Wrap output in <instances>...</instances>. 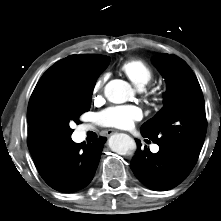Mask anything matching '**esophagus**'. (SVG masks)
I'll return each mask as SVG.
<instances>
[{
    "label": "esophagus",
    "instance_id": "esophagus-1",
    "mask_svg": "<svg viewBox=\"0 0 221 221\" xmlns=\"http://www.w3.org/2000/svg\"><path fill=\"white\" fill-rule=\"evenodd\" d=\"M113 132H114V130L109 129V130H106V131H105V134L108 135V136H110V135L113 134Z\"/></svg>",
    "mask_w": 221,
    "mask_h": 221
}]
</instances>
